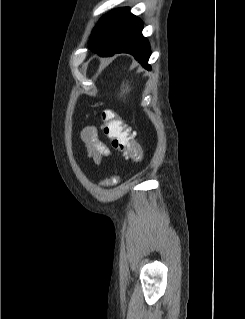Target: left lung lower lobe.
I'll list each match as a JSON object with an SVG mask.
<instances>
[{
	"instance_id": "obj_1",
	"label": "left lung lower lobe",
	"mask_w": 245,
	"mask_h": 319,
	"mask_svg": "<svg viewBox=\"0 0 245 319\" xmlns=\"http://www.w3.org/2000/svg\"><path fill=\"white\" fill-rule=\"evenodd\" d=\"M92 50L100 56H112L114 53H130L145 68L150 69L147 64L151 54L150 46L147 39L142 35V22L136 16L131 19L112 47Z\"/></svg>"
}]
</instances>
